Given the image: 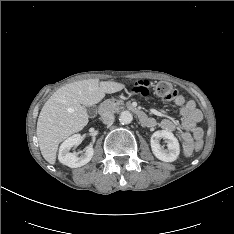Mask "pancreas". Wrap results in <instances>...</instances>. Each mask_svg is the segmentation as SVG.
Returning a JSON list of instances; mask_svg holds the SVG:
<instances>
[{
	"instance_id": "1",
	"label": "pancreas",
	"mask_w": 234,
	"mask_h": 234,
	"mask_svg": "<svg viewBox=\"0 0 234 234\" xmlns=\"http://www.w3.org/2000/svg\"><path fill=\"white\" fill-rule=\"evenodd\" d=\"M121 104H122V102H120V101L108 99V100L103 102L102 107L104 110L115 112L118 110V108Z\"/></svg>"
}]
</instances>
